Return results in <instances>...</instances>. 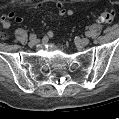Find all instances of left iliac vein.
<instances>
[{"mask_svg":"<svg viewBox=\"0 0 119 119\" xmlns=\"http://www.w3.org/2000/svg\"><path fill=\"white\" fill-rule=\"evenodd\" d=\"M89 42H90V40H89L88 38H82V39H80V40L78 41V43H79L80 45H82V46L88 45Z\"/></svg>","mask_w":119,"mask_h":119,"instance_id":"obj_1","label":"left iliac vein"}]
</instances>
